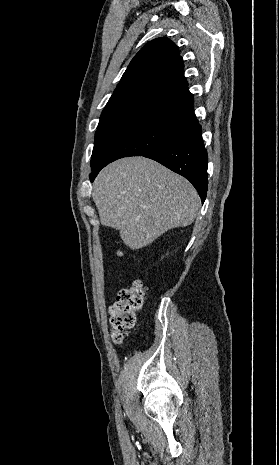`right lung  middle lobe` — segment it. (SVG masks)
Wrapping results in <instances>:
<instances>
[{
	"label": "right lung middle lobe",
	"instance_id": "dd1d6c3e",
	"mask_svg": "<svg viewBox=\"0 0 279 465\" xmlns=\"http://www.w3.org/2000/svg\"><path fill=\"white\" fill-rule=\"evenodd\" d=\"M178 124L131 121L97 128L91 158L92 171L128 156H143L167 142Z\"/></svg>",
	"mask_w": 279,
	"mask_h": 465
}]
</instances>
